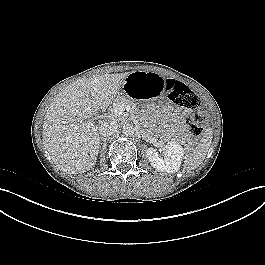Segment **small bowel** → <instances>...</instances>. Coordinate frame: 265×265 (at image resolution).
Returning <instances> with one entry per match:
<instances>
[{
	"label": "small bowel",
	"instance_id": "obj_1",
	"mask_svg": "<svg viewBox=\"0 0 265 265\" xmlns=\"http://www.w3.org/2000/svg\"><path fill=\"white\" fill-rule=\"evenodd\" d=\"M176 113L178 116H184L186 114V112L183 110H176Z\"/></svg>",
	"mask_w": 265,
	"mask_h": 265
}]
</instances>
